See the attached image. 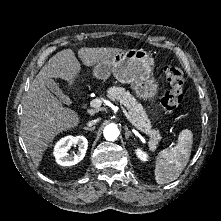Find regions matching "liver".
Listing matches in <instances>:
<instances>
[{
    "mask_svg": "<svg viewBox=\"0 0 221 221\" xmlns=\"http://www.w3.org/2000/svg\"><path fill=\"white\" fill-rule=\"evenodd\" d=\"M121 51L119 48L82 47L78 50V57L85 66L91 67ZM80 71L81 66L73 50L65 49L48 60L30 85L23 106L21 134L36 167L40 165L48 143L80 122L77 112L63 107L62 102L47 89L45 82L52 78L72 81Z\"/></svg>",
    "mask_w": 221,
    "mask_h": 221,
    "instance_id": "6515ba94",
    "label": "liver"
}]
</instances>
